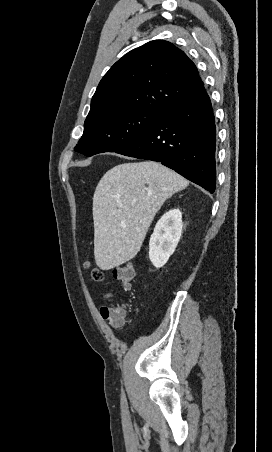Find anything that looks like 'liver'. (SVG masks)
Segmentation results:
<instances>
[{
	"instance_id": "liver-1",
	"label": "liver",
	"mask_w": 272,
	"mask_h": 452,
	"mask_svg": "<svg viewBox=\"0 0 272 452\" xmlns=\"http://www.w3.org/2000/svg\"><path fill=\"white\" fill-rule=\"evenodd\" d=\"M189 182L154 162H129L108 170L93 196L94 256L101 270L133 259L164 202Z\"/></svg>"
}]
</instances>
